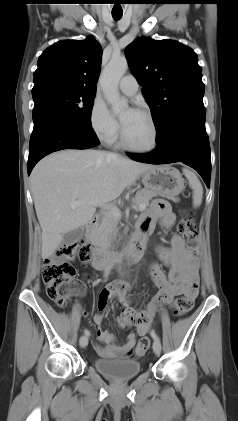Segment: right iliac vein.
I'll list each match as a JSON object with an SVG mask.
<instances>
[{"mask_svg": "<svg viewBox=\"0 0 238 421\" xmlns=\"http://www.w3.org/2000/svg\"><path fill=\"white\" fill-rule=\"evenodd\" d=\"M79 344H80V346L81 347H86L87 346V344H88V336L87 335H83V336H81L80 337V340H79Z\"/></svg>", "mask_w": 238, "mask_h": 421, "instance_id": "63e3f726", "label": "right iliac vein"}]
</instances>
